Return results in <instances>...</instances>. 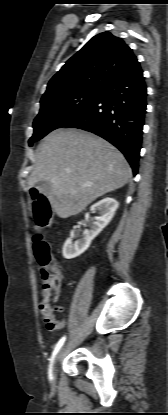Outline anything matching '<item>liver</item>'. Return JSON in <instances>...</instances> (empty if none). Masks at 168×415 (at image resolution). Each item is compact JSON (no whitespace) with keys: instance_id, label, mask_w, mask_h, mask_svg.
I'll use <instances>...</instances> for the list:
<instances>
[{"instance_id":"obj_1","label":"liver","mask_w":168,"mask_h":415,"mask_svg":"<svg viewBox=\"0 0 168 415\" xmlns=\"http://www.w3.org/2000/svg\"><path fill=\"white\" fill-rule=\"evenodd\" d=\"M131 177L123 154L106 140L83 130L57 129L39 145L28 184L31 188L49 181L52 188L47 197L53 210L60 218H68L123 187Z\"/></svg>"}]
</instances>
